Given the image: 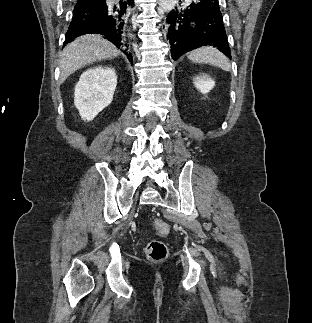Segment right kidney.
Returning a JSON list of instances; mask_svg holds the SVG:
<instances>
[{
  "mask_svg": "<svg viewBox=\"0 0 312 323\" xmlns=\"http://www.w3.org/2000/svg\"><path fill=\"white\" fill-rule=\"evenodd\" d=\"M117 86V76L110 66H94L81 74L75 86L74 106L82 120H93L109 106Z\"/></svg>",
  "mask_w": 312,
  "mask_h": 323,
  "instance_id": "right-kidney-1",
  "label": "right kidney"
}]
</instances>
